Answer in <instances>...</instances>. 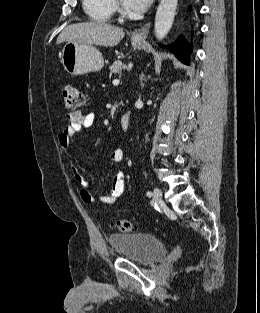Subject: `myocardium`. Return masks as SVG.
<instances>
[{"instance_id":"myocardium-1","label":"myocardium","mask_w":260,"mask_h":313,"mask_svg":"<svg viewBox=\"0 0 260 313\" xmlns=\"http://www.w3.org/2000/svg\"><path fill=\"white\" fill-rule=\"evenodd\" d=\"M117 4L119 3V0H114Z\"/></svg>"}]
</instances>
